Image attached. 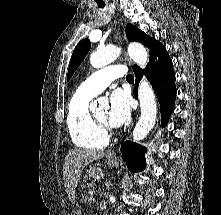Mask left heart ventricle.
Here are the masks:
<instances>
[{"label": "left heart ventricle", "instance_id": "left-heart-ventricle-1", "mask_svg": "<svg viewBox=\"0 0 221 215\" xmlns=\"http://www.w3.org/2000/svg\"><path fill=\"white\" fill-rule=\"evenodd\" d=\"M96 116H97V118H99L102 121H107L108 109L107 108L102 109Z\"/></svg>", "mask_w": 221, "mask_h": 215}]
</instances>
